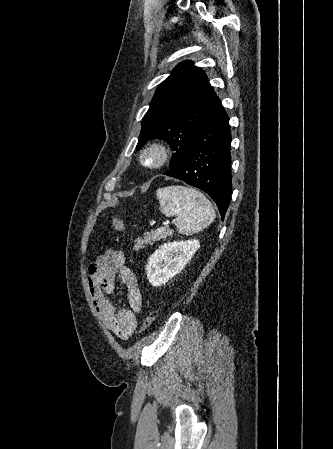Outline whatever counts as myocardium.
Wrapping results in <instances>:
<instances>
[{"mask_svg":"<svg viewBox=\"0 0 333 449\" xmlns=\"http://www.w3.org/2000/svg\"><path fill=\"white\" fill-rule=\"evenodd\" d=\"M169 157V149L162 142H150L139 153L140 163L149 169H159L165 165Z\"/></svg>","mask_w":333,"mask_h":449,"instance_id":"f54148a6","label":"myocardium"}]
</instances>
